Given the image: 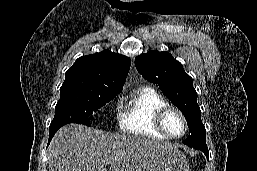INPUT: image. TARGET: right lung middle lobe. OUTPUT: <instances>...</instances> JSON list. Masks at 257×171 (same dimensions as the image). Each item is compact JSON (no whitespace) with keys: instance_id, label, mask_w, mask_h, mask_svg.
<instances>
[{"instance_id":"right-lung-middle-lobe-1","label":"right lung middle lobe","mask_w":257,"mask_h":171,"mask_svg":"<svg viewBox=\"0 0 257 171\" xmlns=\"http://www.w3.org/2000/svg\"><path fill=\"white\" fill-rule=\"evenodd\" d=\"M119 92L94 87L60 88V99L50 126L78 123L89 126L92 114Z\"/></svg>"}]
</instances>
